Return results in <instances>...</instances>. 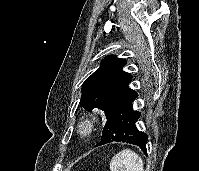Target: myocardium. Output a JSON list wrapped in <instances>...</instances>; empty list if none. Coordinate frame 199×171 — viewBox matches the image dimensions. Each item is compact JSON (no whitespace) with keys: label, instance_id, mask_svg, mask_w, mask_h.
<instances>
[{"label":"myocardium","instance_id":"obj_1","mask_svg":"<svg viewBox=\"0 0 199 171\" xmlns=\"http://www.w3.org/2000/svg\"><path fill=\"white\" fill-rule=\"evenodd\" d=\"M95 129V121L88 117L81 119L76 126L77 135L82 140L89 139L94 134Z\"/></svg>","mask_w":199,"mask_h":171}]
</instances>
